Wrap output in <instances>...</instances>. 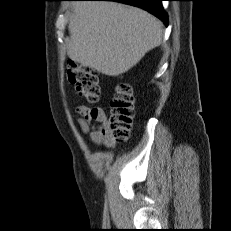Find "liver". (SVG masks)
<instances>
[{
	"label": "liver",
	"instance_id": "liver-1",
	"mask_svg": "<svg viewBox=\"0 0 231 231\" xmlns=\"http://www.w3.org/2000/svg\"><path fill=\"white\" fill-rule=\"evenodd\" d=\"M73 9L68 56L102 74L129 71L162 41L161 22L142 9L98 1L75 2Z\"/></svg>",
	"mask_w": 231,
	"mask_h": 231
}]
</instances>
